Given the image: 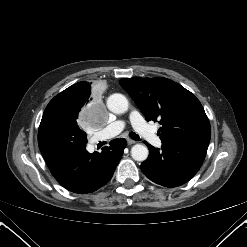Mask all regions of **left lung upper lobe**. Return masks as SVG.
Instances as JSON below:
<instances>
[{
	"label": "left lung upper lobe",
	"mask_w": 247,
	"mask_h": 247,
	"mask_svg": "<svg viewBox=\"0 0 247 247\" xmlns=\"http://www.w3.org/2000/svg\"><path fill=\"white\" fill-rule=\"evenodd\" d=\"M120 85L147 121H159L163 144L188 138L208 139L211 129L199 100L180 84L163 77L122 78Z\"/></svg>",
	"instance_id": "obj_1"
}]
</instances>
